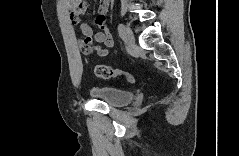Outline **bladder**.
I'll return each instance as SVG.
<instances>
[{"mask_svg":"<svg viewBox=\"0 0 239 156\" xmlns=\"http://www.w3.org/2000/svg\"><path fill=\"white\" fill-rule=\"evenodd\" d=\"M89 94L115 108L126 106L134 99L133 91L112 87H93L89 90Z\"/></svg>","mask_w":239,"mask_h":156,"instance_id":"31cf9c89","label":"bladder"}]
</instances>
